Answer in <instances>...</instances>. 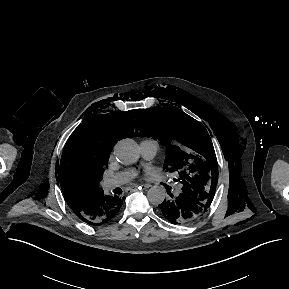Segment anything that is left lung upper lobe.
Returning a JSON list of instances; mask_svg holds the SVG:
<instances>
[{"instance_id":"1","label":"left lung upper lobe","mask_w":289,"mask_h":289,"mask_svg":"<svg viewBox=\"0 0 289 289\" xmlns=\"http://www.w3.org/2000/svg\"><path fill=\"white\" fill-rule=\"evenodd\" d=\"M138 113L141 125L138 123L136 135L158 138L165 144L169 152L164 164L167 171H177L183 186L198 183L206 189L216 187V155L211 138L200 122L176 107H156Z\"/></svg>"}]
</instances>
